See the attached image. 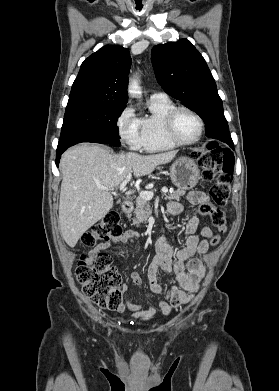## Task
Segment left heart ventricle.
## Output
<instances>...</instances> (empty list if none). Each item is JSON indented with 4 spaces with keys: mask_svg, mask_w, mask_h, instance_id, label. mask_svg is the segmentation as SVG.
Returning <instances> with one entry per match:
<instances>
[{
    "mask_svg": "<svg viewBox=\"0 0 279 391\" xmlns=\"http://www.w3.org/2000/svg\"><path fill=\"white\" fill-rule=\"evenodd\" d=\"M176 135L183 141L194 140L199 133V123L187 111H180L175 119Z\"/></svg>",
    "mask_w": 279,
    "mask_h": 391,
    "instance_id": "1",
    "label": "left heart ventricle"
}]
</instances>
